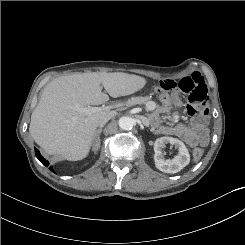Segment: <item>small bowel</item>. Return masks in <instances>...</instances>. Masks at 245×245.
Here are the masks:
<instances>
[{
  "label": "small bowel",
  "mask_w": 245,
  "mask_h": 245,
  "mask_svg": "<svg viewBox=\"0 0 245 245\" xmlns=\"http://www.w3.org/2000/svg\"><path fill=\"white\" fill-rule=\"evenodd\" d=\"M158 86L166 92H171L176 105L181 106L180 94H187L190 104L186 108L188 116L192 117L189 125L178 124L175 126H158L159 116H152L153 123L157 126V132L165 135H174L191 147L207 145L209 143V110L206 104L208 99L207 88L203 77L198 73L182 78L176 82L173 78H161ZM169 107L163 105L161 112L168 111Z\"/></svg>",
  "instance_id": "1"
}]
</instances>
